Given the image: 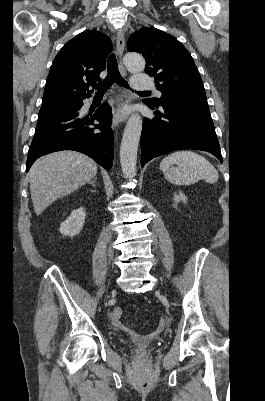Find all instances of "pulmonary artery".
Returning a JSON list of instances; mask_svg holds the SVG:
<instances>
[{"label":"pulmonary artery","mask_w":265,"mask_h":401,"mask_svg":"<svg viewBox=\"0 0 265 401\" xmlns=\"http://www.w3.org/2000/svg\"><path fill=\"white\" fill-rule=\"evenodd\" d=\"M132 87L134 90H153L155 84L151 81V77L149 75H136L133 78ZM157 94L160 96L161 92L158 91Z\"/></svg>","instance_id":"pulmonary-artery-1"}]
</instances>
